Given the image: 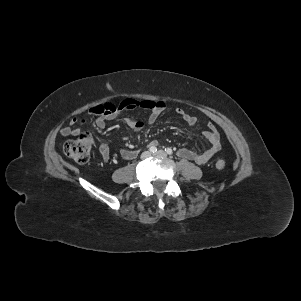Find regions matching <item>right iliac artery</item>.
Segmentation results:
<instances>
[{"label": "right iliac artery", "mask_w": 301, "mask_h": 301, "mask_svg": "<svg viewBox=\"0 0 301 301\" xmlns=\"http://www.w3.org/2000/svg\"><path fill=\"white\" fill-rule=\"evenodd\" d=\"M149 150H150L151 153H155L157 151V148L155 146H151L149 148Z\"/></svg>", "instance_id": "right-iliac-artery-1"}]
</instances>
